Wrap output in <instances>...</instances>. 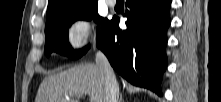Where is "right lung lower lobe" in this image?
I'll return each instance as SVG.
<instances>
[{
  "instance_id": "obj_1",
  "label": "right lung lower lobe",
  "mask_w": 221,
  "mask_h": 102,
  "mask_svg": "<svg viewBox=\"0 0 221 102\" xmlns=\"http://www.w3.org/2000/svg\"><path fill=\"white\" fill-rule=\"evenodd\" d=\"M170 5L171 0H126L127 29L121 30L118 18L114 17L97 35V47L122 77L158 95L167 66Z\"/></svg>"
}]
</instances>
